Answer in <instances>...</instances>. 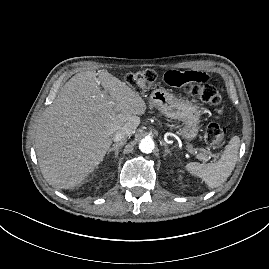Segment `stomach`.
<instances>
[{"label":"stomach","mask_w":269,"mask_h":269,"mask_svg":"<svg viewBox=\"0 0 269 269\" xmlns=\"http://www.w3.org/2000/svg\"><path fill=\"white\" fill-rule=\"evenodd\" d=\"M149 106L158 109L163 115L182 122L180 135L187 141L196 138L199 131L200 110L191 101L178 99L163 88L154 89L150 94Z\"/></svg>","instance_id":"1"}]
</instances>
